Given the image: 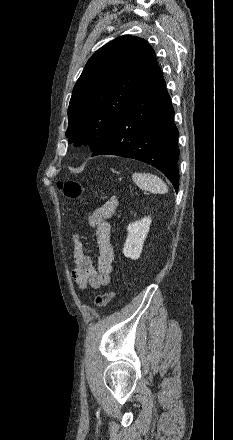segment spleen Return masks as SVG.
<instances>
[{"label": "spleen", "mask_w": 233, "mask_h": 440, "mask_svg": "<svg viewBox=\"0 0 233 440\" xmlns=\"http://www.w3.org/2000/svg\"><path fill=\"white\" fill-rule=\"evenodd\" d=\"M134 183L143 190H148L154 194H165L168 192L167 185L162 179L151 173H133Z\"/></svg>", "instance_id": "1"}]
</instances>
